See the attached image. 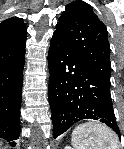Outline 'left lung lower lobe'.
<instances>
[{"label":"left lung lower lobe","instance_id":"obj_1","mask_svg":"<svg viewBox=\"0 0 124 149\" xmlns=\"http://www.w3.org/2000/svg\"><path fill=\"white\" fill-rule=\"evenodd\" d=\"M48 67L54 138L83 119L105 123L120 138L110 82L99 76L55 32L50 42Z\"/></svg>","mask_w":124,"mask_h":149}]
</instances>
